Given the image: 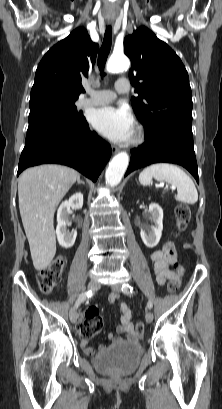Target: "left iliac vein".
<instances>
[{"label": "left iliac vein", "instance_id": "obj_1", "mask_svg": "<svg viewBox=\"0 0 222 409\" xmlns=\"http://www.w3.org/2000/svg\"><path fill=\"white\" fill-rule=\"evenodd\" d=\"M111 288H112V290H113L114 292L119 293V292H121V283H115V284H113V285L111 286ZM145 320H146V322H148V323H151V322H152V320H153V314H152V312H147V313H146V315H145Z\"/></svg>", "mask_w": 222, "mask_h": 409}]
</instances>
